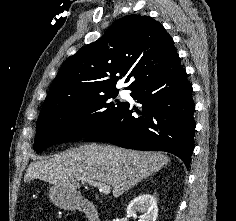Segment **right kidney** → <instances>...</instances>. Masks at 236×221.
Listing matches in <instances>:
<instances>
[{
  "label": "right kidney",
  "instance_id": "right-kidney-1",
  "mask_svg": "<svg viewBox=\"0 0 236 221\" xmlns=\"http://www.w3.org/2000/svg\"><path fill=\"white\" fill-rule=\"evenodd\" d=\"M138 212L142 214L138 221H156L158 216L156 198L150 194H140L135 197L127 207V216L136 219Z\"/></svg>",
  "mask_w": 236,
  "mask_h": 221
}]
</instances>
